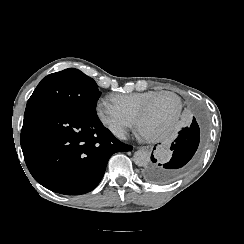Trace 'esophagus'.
I'll list each match as a JSON object with an SVG mask.
<instances>
[{
	"label": "esophagus",
	"instance_id": "obj_1",
	"mask_svg": "<svg viewBox=\"0 0 244 244\" xmlns=\"http://www.w3.org/2000/svg\"><path fill=\"white\" fill-rule=\"evenodd\" d=\"M139 148L142 149V150H145L147 152H151L153 150V146L152 145L141 146Z\"/></svg>",
	"mask_w": 244,
	"mask_h": 244
}]
</instances>
